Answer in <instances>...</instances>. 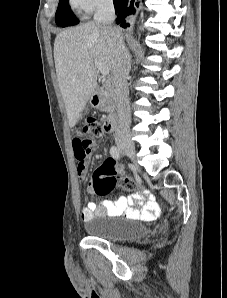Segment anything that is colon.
Wrapping results in <instances>:
<instances>
[{
  "label": "colon",
  "instance_id": "1",
  "mask_svg": "<svg viewBox=\"0 0 227 298\" xmlns=\"http://www.w3.org/2000/svg\"><path fill=\"white\" fill-rule=\"evenodd\" d=\"M103 133L104 130L100 122L94 118H90L80 129L79 135L74 139H81L82 142H92V139L102 137ZM92 186L94 192L102 196L108 195L117 186L130 191L141 189L140 185L134 180L119 177L116 174L115 163L112 160L106 161L95 171Z\"/></svg>",
  "mask_w": 227,
  "mask_h": 298
}]
</instances>
